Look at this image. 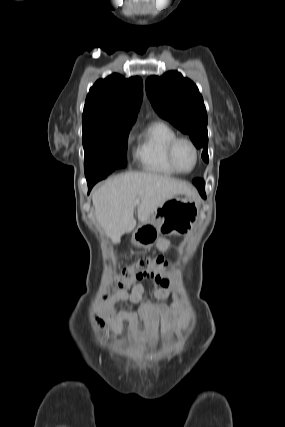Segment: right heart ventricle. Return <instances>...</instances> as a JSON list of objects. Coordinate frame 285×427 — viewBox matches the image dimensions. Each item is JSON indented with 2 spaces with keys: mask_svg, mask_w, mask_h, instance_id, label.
Wrapping results in <instances>:
<instances>
[{
  "mask_svg": "<svg viewBox=\"0 0 285 427\" xmlns=\"http://www.w3.org/2000/svg\"><path fill=\"white\" fill-rule=\"evenodd\" d=\"M177 136L176 131L163 121L150 123L139 134L134 152L140 167L156 174H177L167 160L168 145Z\"/></svg>",
  "mask_w": 285,
  "mask_h": 427,
  "instance_id": "1",
  "label": "right heart ventricle"
}]
</instances>
